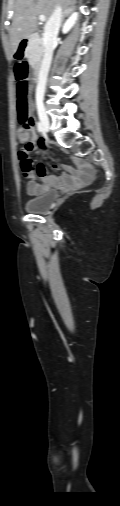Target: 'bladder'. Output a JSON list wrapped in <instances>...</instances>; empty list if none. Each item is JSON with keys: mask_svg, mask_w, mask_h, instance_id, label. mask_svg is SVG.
Returning <instances> with one entry per match:
<instances>
[{"mask_svg": "<svg viewBox=\"0 0 120 506\" xmlns=\"http://www.w3.org/2000/svg\"><path fill=\"white\" fill-rule=\"evenodd\" d=\"M57 197L56 191H47L38 197L28 198L24 207L30 213H45L55 204Z\"/></svg>", "mask_w": 120, "mask_h": 506, "instance_id": "bladder-1", "label": "bladder"}]
</instances>
